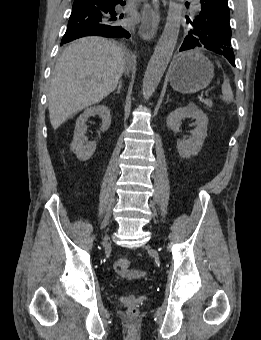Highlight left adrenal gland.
Wrapping results in <instances>:
<instances>
[{
    "label": "left adrenal gland",
    "mask_w": 261,
    "mask_h": 340,
    "mask_svg": "<svg viewBox=\"0 0 261 340\" xmlns=\"http://www.w3.org/2000/svg\"><path fill=\"white\" fill-rule=\"evenodd\" d=\"M170 100H169V95H167V100H166V103H168Z\"/></svg>",
    "instance_id": "left-adrenal-gland-1"
}]
</instances>
